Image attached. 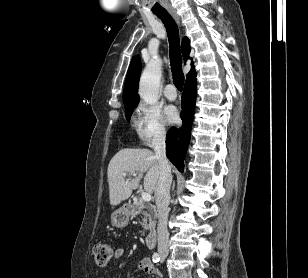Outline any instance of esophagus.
I'll return each instance as SVG.
<instances>
[{
  "mask_svg": "<svg viewBox=\"0 0 308 278\" xmlns=\"http://www.w3.org/2000/svg\"><path fill=\"white\" fill-rule=\"evenodd\" d=\"M169 13L171 14V16L175 19V21L180 24V19H179V16L177 15L176 11L175 10H169Z\"/></svg>",
  "mask_w": 308,
  "mask_h": 278,
  "instance_id": "1",
  "label": "esophagus"
}]
</instances>
